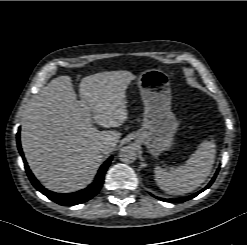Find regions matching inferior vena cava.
<instances>
[{"instance_id": "obj_1", "label": "inferior vena cava", "mask_w": 247, "mask_h": 245, "mask_svg": "<svg viewBox=\"0 0 247 245\" xmlns=\"http://www.w3.org/2000/svg\"><path fill=\"white\" fill-rule=\"evenodd\" d=\"M114 147V144L111 142H104L100 145V151L102 152H111Z\"/></svg>"}]
</instances>
